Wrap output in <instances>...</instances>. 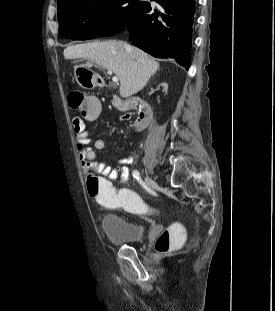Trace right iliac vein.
<instances>
[{"instance_id":"63e3f726","label":"right iliac vein","mask_w":275,"mask_h":311,"mask_svg":"<svg viewBox=\"0 0 275 311\" xmlns=\"http://www.w3.org/2000/svg\"><path fill=\"white\" fill-rule=\"evenodd\" d=\"M145 182H146L147 186L150 187L151 189H156L158 186L157 183L152 178H150L149 176L145 177Z\"/></svg>"}]
</instances>
